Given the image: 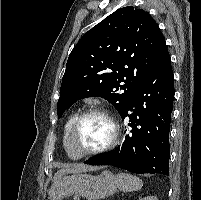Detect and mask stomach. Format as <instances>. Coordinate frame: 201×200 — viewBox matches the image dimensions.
<instances>
[{
    "label": "stomach",
    "instance_id": "1",
    "mask_svg": "<svg viewBox=\"0 0 201 200\" xmlns=\"http://www.w3.org/2000/svg\"><path fill=\"white\" fill-rule=\"evenodd\" d=\"M117 187V179L110 171H103L96 176L76 173L54 181L48 190V199L62 200L64 197L77 194L87 200H99L113 195Z\"/></svg>",
    "mask_w": 201,
    "mask_h": 200
}]
</instances>
